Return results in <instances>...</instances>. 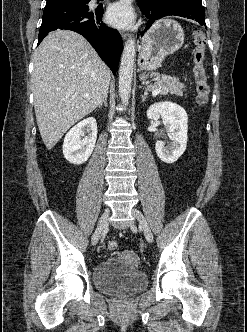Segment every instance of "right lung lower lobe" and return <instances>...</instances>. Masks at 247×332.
<instances>
[{"label":"right lung lower lobe","instance_id":"right-lung-lower-lobe-1","mask_svg":"<svg viewBox=\"0 0 247 332\" xmlns=\"http://www.w3.org/2000/svg\"><path fill=\"white\" fill-rule=\"evenodd\" d=\"M89 1L86 3L62 2L46 5L38 35V44L49 32L54 30L75 31L89 41L115 75L123 49L121 35L117 30L110 29L101 22L103 9H89Z\"/></svg>","mask_w":247,"mask_h":332}]
</instances>
